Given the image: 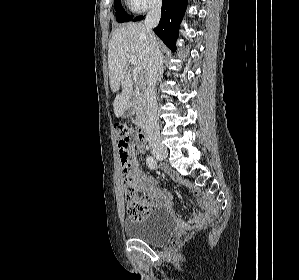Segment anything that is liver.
Returning a JSON list of instances; mask_svg holds the SVG:
<instances>
[{
  "label": "liver",
  "instance_id": "6515ba94",
  "mask_svg": "<svg viewBox=\"0 0 299 280\" xmlns=\"http://www.w3.org/2000/svg\"><path fill=\"white\" fill-rule=\"evenodd\" d=\"M133 55L136 58V67L147 71L150 60L149 39L142 23H129L116 29L108 44V68L110 87L113 92L119 90L113 103L114 114L121 117L125 110L132 105L131 96L133 84L130 71L128 70L129 58Z\"/></svg>",
  "mask_w": 299,
  "mask_h": 280
}]
</instances>
